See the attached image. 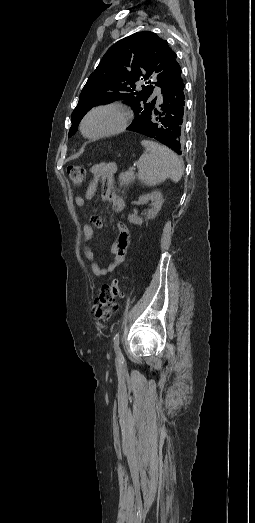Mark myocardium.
<instances>
[{
  "instance_id": "obj_1",
  "label": "myocardium",
  "mask_w": 255,
  "mask_h": 523,
  "mask_svg": "<svg viewBox=\"0 0 255 523\" xmlns=\"http://www.w3.org/2000/svg\"><path fill=\"white\" fill-rule=\"evenodd\" d=\"M99 111H109V112L116 114L121 120L120 124L116 128L106 131V132H102V133H98V134L86 133L85 125H86L87 120L90 118V116H92L94 113L99 112ZM133 118H134L133 111L125 106L116 105V104L97 105V106H94L91 109H89L84 114V116L81 119L79 129H80L82 136H84L85 138L90 139V140H99V139L109 138V137H113V136L124 133L129 128L131 122L133 121Z\"/></svg>"
}]
</instances>
